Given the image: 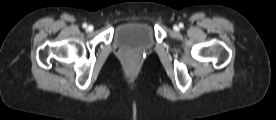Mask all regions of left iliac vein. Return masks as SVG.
<instances>
[{
  "mask_svg": "<svg viewBox=\"0 0 276 120\" xmlns=\"http://www.w3.org/2000/svg\"><path fill=\"white\" fill-rule=\"evenodd\" d=\"M178 29H179V28H178V26H174V30H176V31H177Z\"/></svg>",
  "mask_w": 276,
  "mask_h": 120,
  "instance_id": "1",
  "label": "left iliac vein"
}]
</instances>
